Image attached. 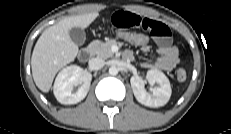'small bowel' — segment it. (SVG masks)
<instances>
[{
  "label": "small bowel",
  "instance_id": "obj_1",
  "mask_svg": "<svg viewBox=\"0 0 231 134\" xmlns=\"http://www.w3.org/2000/svg\"><path fill=\"white\" fill-rule=\"evenodd\" d=\"M110 22L115 29L141 30L148 33L154 39L157 44L156 51L158 57L154 63L143 62V68L170 71L179 62L178 50L171 45V33L164 23L150 17H142L130 11L114 12L111 15ZM141 49L144 52L149 51L148 46ZM125 57L128 60H132L134 55L131 51H126Z\"/></svg>",
  "mask_w": 231,
  "mask_h": 134
}]
</instances>
